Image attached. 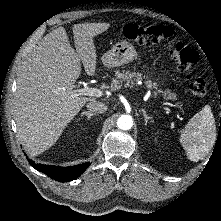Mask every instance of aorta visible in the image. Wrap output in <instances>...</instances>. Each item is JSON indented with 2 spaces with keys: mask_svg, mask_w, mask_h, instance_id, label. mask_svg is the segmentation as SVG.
<instances>
[{
  "mask_svg": "<svg viewBox=\"0 0 221 221\" xmlns=\"http://www.w3.org/2000/svg\"><path fill=\"white\" fill-rule=\"evenodd\" d=\"M118 128L122 130H129L133 126V119L129 115H122L117 120Z\"/></svg>",
  "mask_w": 221,
  "mask_h": 221,
  "instance_id": "obj_1",
  "label": "aorta"
}]
</instances>
